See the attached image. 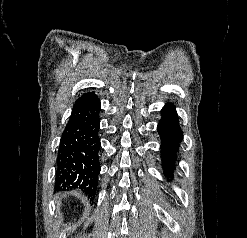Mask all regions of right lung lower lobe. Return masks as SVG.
<instances>
[{
    "instance_id": "1",
    "label": "right lung lower lobe",
    "mask_w": 247,
    "mask_h": 238,
    "mask_svg": "<svg viewBox=\"0 0 247 238\" xmlns=\"http://www.w3.org/2000/svg\"><path fill=\"white\" fill-rule=\"evenodd\" d=\"M100 101L94 93H85L74 103L63 133L57 159L56 187L80 189L95 195L100 172L98 131Z\"/></svg>"
}]
</instances>
